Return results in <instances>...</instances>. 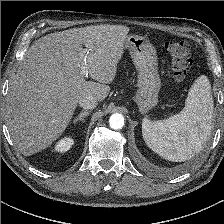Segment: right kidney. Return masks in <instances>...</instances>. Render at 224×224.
Returning <instances> with one entry per match:
<instances>
[{
	"label": "right kidney",
	"mask_w": 224,
	"mask_h": 224,
	"mask_svg": "<svg viewBox=\"0 0 224 224\" xmlns=\"http://www.w3.org/2000/svg\"><path fill=\"white\" fill-rule=\"evenodd\" d=\"M73 143L74 141L71 138L61 139L56 143L54 150L57 152H66L72 147Z\"/></svg>",
	"instance_id": "obj_1"
}]
</instances>
